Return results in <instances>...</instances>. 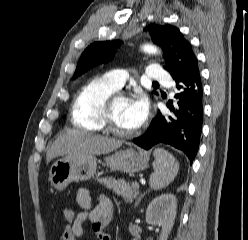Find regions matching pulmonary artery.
<instances>
[{
	"mask_svg": "<svg viewBox=\"0 0 248 240\" xmlns=\"http://www.w3.org/2000/svg\"><path fill=\"white\" fill-rule=\"evenodd\" d=\"M103 78L110 85L119 89L124 85L127 74L122 70H111L105 72ZM147 78L158 83H168L170 81L169 75L155 64L147 68Z\"/></svg>",
	"mask_w": 248,
	"mask_h": 240,
	"instance_id": "1",
	"label": "pulmonary artery"
}]
</instances>
